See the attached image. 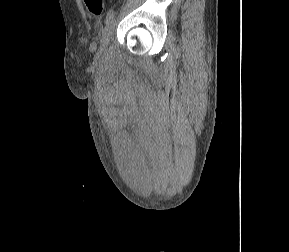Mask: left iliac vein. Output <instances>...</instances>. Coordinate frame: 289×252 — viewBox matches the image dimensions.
<instances>
[{
  "instance_id": "1",
  "label": "left iliac vein",
  "mask_w": 289,
  "mask_h": 252,
  "mask_svg": "<svg viewBox=\"0 0 289 252\" xmlns=\"http://www.w3.org/2000/svg\"><path fill=\"white\" fill-rule=\"evenodd\" d=\"M114 24H115L114 18H112L110 21L106 23V26L102 32V37H101V43H100L101 50L106 49V47L110 43L113 31H114Z\"/></svg>"
}]
</instances>
